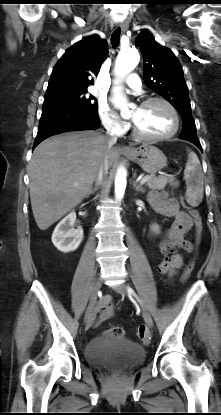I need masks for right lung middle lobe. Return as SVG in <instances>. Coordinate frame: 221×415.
<instances>
[{
    "instance_id": "obj_1",
    "label": "right lung middle lobe",
    "mask_w": 221,
    "mask_h": 415,
    "mask_svg": "<svg viewBox=\"0 0 221 415\" xmlns=\"http://www.w3.org/2000/svg\"><path fill=\"white\" fill-rule=\"evenodd\" d=\"M60 104L81 108L92 113L97 112V100L87 94V89L62 90L46 93L44 104Z\"/></svg>"
}]
</instances>
